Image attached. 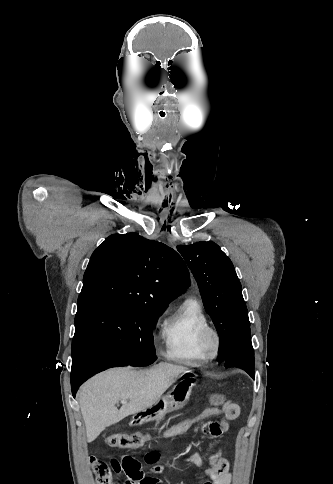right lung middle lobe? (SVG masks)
I'll list each match as a JSON object with an SVG mask.
<instances>
[{"label":"right lung middle lobe","instance_id":"1","mask_svg":"<svg viewBox=\"0 0 333 484\" xmlns=\"http://www.w3.org/2000/svg\"><path fill=\"white\" fill-rule=\"evenodd\" d=\"M163 311L132 304L91 302L78 305L72 356L87 335L108 343L132 366L156 360L152 331Z\"/></svg>","mask_w":333,"mask_h":484}]
</instances>
